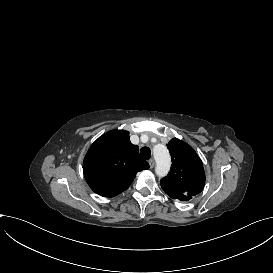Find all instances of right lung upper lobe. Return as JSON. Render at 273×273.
<instances>
[{
	"mask_svg": "<svg viewBox=\"0 0 273 273\" xmlns=\"http://www.w3.org/2000/svg\"><path fill=\"white\" fill-rule=\"evenodd\" d=\"M148 162L139 156L129 132L113 130L99 137L88 150L83 172L91 189L104 197H114L126 190L137 172L148 169Z\"/></svg>",
	"mask_w": 273,
	"mask_h": 273,
	"instance_id": "right-lung-upper-lobe-1",
	"label": "right lung upper lobe"
}]
</instances>
